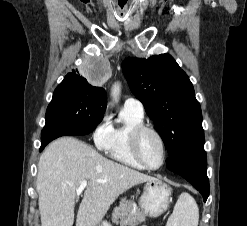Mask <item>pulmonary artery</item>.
<instances>
[{
	"instance_id": "e3ab8cb5",
	"label": "pulmonary artery",
	"mask_w": 247,
	"mask_h": 226,
	"mask_svg": "<svg viewBox=\"0 0 247 226\" xmlns=\"http://www.w3.org/2000/svg\"><path fill=\"white\" fill-rule=\"evenodd\" d=\"M124 106L130 107V108H132V109H134L140 113L144 112V107H143L142 102L136 98H133V97L127 98L125 103H124Z\"/></svg>"
}]
</instances>
